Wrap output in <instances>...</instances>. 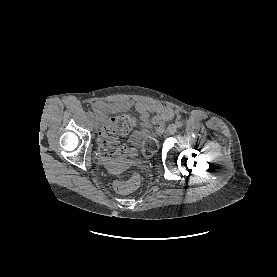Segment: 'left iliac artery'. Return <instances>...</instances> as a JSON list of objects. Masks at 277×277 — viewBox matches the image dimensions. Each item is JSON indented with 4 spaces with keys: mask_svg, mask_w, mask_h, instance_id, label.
Listing matches in <instances>:
<instances>
[{
    "mask_svg": "<svg viewBox=\"0 0 277 277\" xmlns=\"http://www.w3.org/2000/svg\"><path fill=\"white\" fill-rule=\"evenodd\" d=\"M176 126H177L178 128H181V127L183 126V122H182V121H177V122H176Z\"/></svg>",
    "mask_w": 277,
    "mask_h": 277,
    "instance_id": "obj_1",
    "label": "left iliac artery"
}]
</instances>
